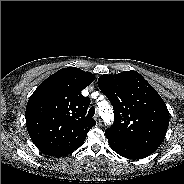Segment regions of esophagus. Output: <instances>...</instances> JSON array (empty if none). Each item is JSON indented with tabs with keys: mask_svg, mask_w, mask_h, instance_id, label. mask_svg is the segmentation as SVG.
Segmentation results:
<instances>
[{
	"mask_svg": "<svg viewBox=\"0 0 184 184\" xmlns=\"http://www.w3.org/2000/svg\"><path fill=\"white\" fill-rule=\"evenodd\" d=\"M95 120H96V122H97L98 125H101V118H100L99 115H96L95 116Z\"/></svg>",
	"mask_w": 184,
	"mask_h": 184,
	"instance_id": "1",
	"label": "esophagus"
}]
</instances>
